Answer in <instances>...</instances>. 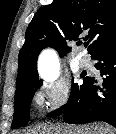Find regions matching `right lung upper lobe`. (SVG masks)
I'll use <instances>...</instances> for the list:
<instances>
[{
  "label": "right lung upper lobe",
  "instance_id": "obj_1",
  "mask_svg": "<svg viewBox=\"0 0 116 134\" xmlns=\"http://www.w3.org/2000/svg\"><path fill=\"white\" fill-rule=\"evenodd\" d=\"M82 36L90 55L116 40V1L53 0L38 10L19 52L15 95L39 81L37 58L42 49L52 47L63 56L71 51L67 43Z\"/></svg>",
  "mask_w": 116,
  "mask_h": 134
}]
</instances>
